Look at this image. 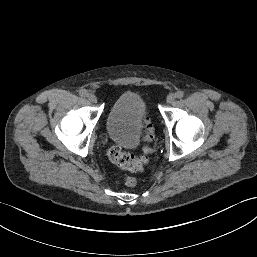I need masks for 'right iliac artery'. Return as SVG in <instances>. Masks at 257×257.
Segmentation results:
<instances>
[{"label":"right iliac artery","mask_w":257,"mask_h":257,"mask_svg":"<svg viewBox=\"0 0 257 257\" xmlns=\"http://www.w3.org/2000/svg\"><path fill=\"white\" fill-rule=\"evenodd\" d=\"M79 95L82 96V97L87 96V90H85V89L79 90Z\"/></svg>","instance_id":"82829eb1"}]
</instances>
